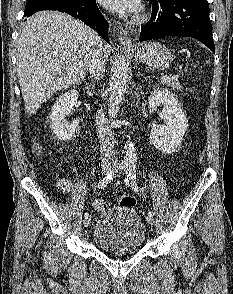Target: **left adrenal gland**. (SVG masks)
I'll return each mask as SVG.
<instances>
[{
    "mask_svg": "<svg viewBox=\"0 0 233 294\" xmlns=\"http://www.w3.org/2000/svg\"><path fill=\"white\" fill-rule=\"evenodd\" d=\"M141 76L143 80L147 79V77H145L143 74H141Z\"/></svg>",
    "mask_w": 233,
    "mask_h": 294,
    "instance_id": "left-adrenal-gland-1",
    "label": "left adrenal gland"
}]
</instances>
